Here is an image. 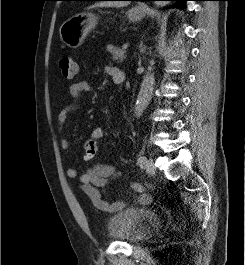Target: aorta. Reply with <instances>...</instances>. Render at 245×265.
Listing matches in <instances>:
<instances>
[{"mask_svg": "<svg viewBox=\"0 0 245 265\" xmlns=\"http://www.w3.org/2000/svg\"><path fill=\"white\" fill-rule=\"evenodd\" d=\"M166 2H157V6H164ZM155 85L154 74L151 71V67L148 68V71L145 73L143 77V81L140 87L139 94L137 96V101L134 107V113L137 117H140L146 107L148 106L152 95L153 89Z\"/></svg>", "mask_w": 245, "mask_h": 265, "instance_id": "1", "label": "aorta"}]
</instances>
